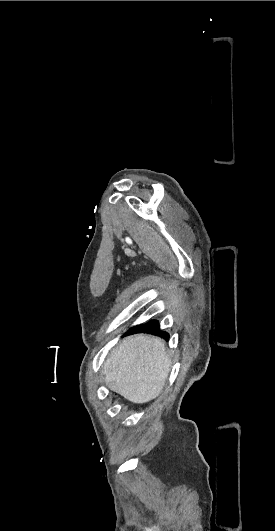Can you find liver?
<instances>
[{
  "label": "liver",
  "instance_id": "liver-1",
  "mask_svg": "<svg viewBox=\"0 0 275 531\" xmlns=\"http://www.w3.org/2000/svg\"><path fill=\"white\" fill-rule=\"evenodd\" d=\"M170 365L162 339L134 335L113 349L102 373L109 389L142 405L161 395Z\"/></svg>",
  "mask_w": 275,
  "mask_h": 531
}]
</instances>
